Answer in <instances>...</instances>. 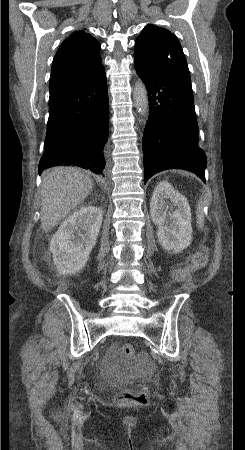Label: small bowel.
<instances>
[{
  "instance_id": "obj_1",
  "label": "small bowel",
  "mask_w": 245,
  "mask_h": 450,
  "mask_svg": "<svg viewBox=\"0 0 245 450\" xmlns=\"http://www.w3.org/2000/svg\"><path fill=\"white\" fill-rule=\"evenodd\" d=\"M112 350H116V347H113Z\"/></svg>"
}]
</instances>
